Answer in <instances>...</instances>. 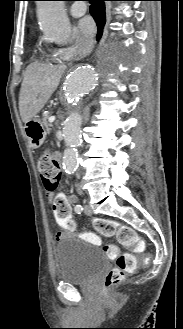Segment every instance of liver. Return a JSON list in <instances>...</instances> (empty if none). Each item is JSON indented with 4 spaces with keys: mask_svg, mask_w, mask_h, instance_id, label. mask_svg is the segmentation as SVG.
Listing matches in <instances>:
<instances>
[{
    "mask_svg": "<svg viewBox=\"0 0 183 329\" xmlns=\"http://www.w3.org/2000/svg\"><path fill=\"white\" fill-rule=\"evenodd\" d=\"M65 66L30 64L19 94V111L24 123L35 117L56 90Z\"/></svg>",
    "mask_w": 183,
    "mask_h": 329,
    "instance_id": "obj_1",
    "label": "liver"
}]
</instances>
